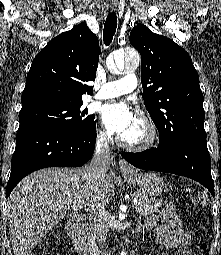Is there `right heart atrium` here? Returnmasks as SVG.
<instances>
[{"mask_svg":"<svg viewBox=\"0 0 221 255\" xmlns=\"http://www.w3.org/2000/svg\"><path fill=\"white\" fill-rule=\"evenodd\" d=\"M97 142L98 144L104 145L107 142V134L104 130H99L97 134Z\"/></svg>","mask_w":221,"mask_h":255,"instance_id":"right-heart-atrium-1","label":"right heart atrium"}]
</instances>
